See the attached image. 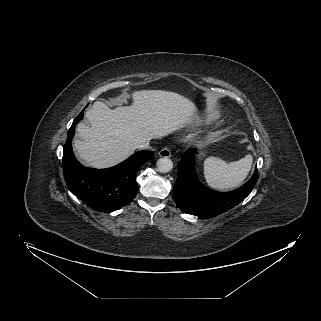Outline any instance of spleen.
I'll use <instances>...</instances> for the list:
<instances>
[{
	"mask_svg": "<svg viewBox=\"0 0 321 321\" xmlns=\"http://www.w3.org/2000/svg\"><path fill=\"white\" fill-rule=\"evenodd\" d=\"M252 161L251 155L230 163L217 157H209L204 161L206 182L211 188L219 190L237 187L247 177Z\"/></svg>",
	"mask_w": 321,
	"mask_h": 321,
	"instance_id": "spleen-1",
	"label": "spleen"
}]
</instances>
